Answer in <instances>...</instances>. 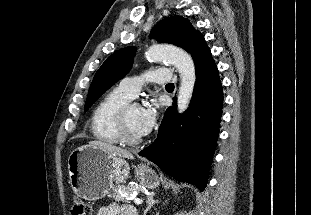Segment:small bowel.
<instances>
[{
  "instance_id": "c3829d8e",
  "label": "small bowel",
  "mask_w": 311,
  "mask_h": 215,
  "mask_svg": "<svg viewBox=\"0 0 311 215\" xmlns=\"http://www.w3.org/2000/svg\"><path fill=\"white\" fill-rule=\"evenodd\" d=\"M135 209L129 205H119L117 203H110L101 207L97 215H134Z\"/></svg>"
}]
</instances>
